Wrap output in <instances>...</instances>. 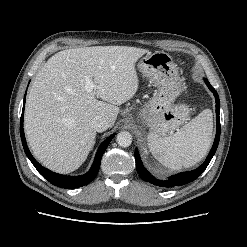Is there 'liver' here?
<instances>
[{"label":"liver","instance_id":"obj_1","mask_svg":"<svg viewBox=\"0 0 247 247\" xmlns=\"http://www.w3.org/2000/svg\"><path fill=\"white\" fill-rule=\"evenodd\" d=\"M146 49L93 46L53 55L38 72L27 97L24 128L36 159L48 169L70 173L87 159L103 116L115 123L121 104L138 90L135 63ZM96 86L85 89L86 79ZM96 96L102 100H97Z\"/></svg>","mask_w":247,"mask_h":247}]
</instances>
